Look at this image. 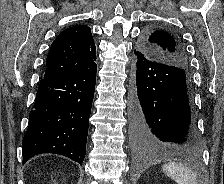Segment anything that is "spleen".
I'll return each instance as SVG.
<instances>
[{
  "instance_id": "spleen-1",
  "label": "spleen",
  "mask_w": 224,
  "mask_h": 184,
  "mask_svg": "<svg viewBox=\"0 0 224 184\" xmlns=\"http://www.w3.org/2000/svg\"><path fill=\"white\" fill-rule=\"evenodd\" d=\"M163 172L178 184H197L196 175L182 164L167 163L162 166Z\"/></svg>"
}]
</instances>
